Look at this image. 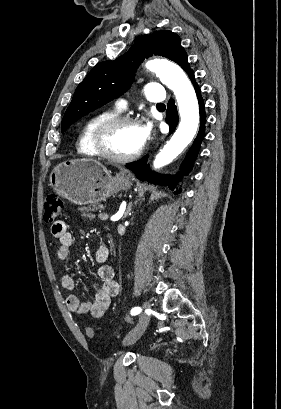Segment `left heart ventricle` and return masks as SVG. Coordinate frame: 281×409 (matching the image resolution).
Returning a JSON list of instances; mask_svg holds the SVG:
<instances>
[{
  "instance_id": "obj_1",
  "label": "left heart ventricle",
  "mask_w": 281,
  "mask_h": 409,
  "mask_svg": "<svg viewBox=\"0 0 281 409\" xmlns=\"http://www.w3.org/2000/svg\"><path fill=\"white\" fill-rule=\"evenodd\" d=\"M107 148L115 155H128L142 146L139 128L130 125H118L108 134Z\"/></svg>"
}]
</instances>
